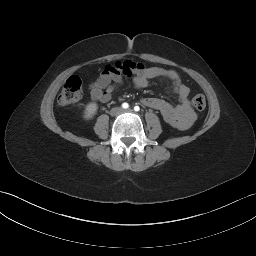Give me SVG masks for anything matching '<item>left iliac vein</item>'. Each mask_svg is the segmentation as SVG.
<instances>
[{
    "label": "left iliac vein",
    "mask_w": 256,
    "mask_h": 256,
    "mask_svg": "<svg viewBox=\"0 0 256 256\" xmlns=\"http://www.w3.org/2000/svg\"><path fill=\"white\" fill-rule=\"evenodd\" d=\"M132 111H133L132 109L125 110V112H132Z\"/></svg>",
    "instance_id": "4c4485c4"
}]
</instances>
